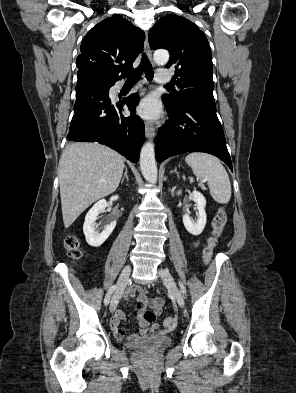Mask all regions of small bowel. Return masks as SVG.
<instances>
[{
    "label": "small bowel",
    "mask_w": 296,
    "mask_h": 393,
    "mask_svg": "<svg viewBox=\"0 0 296 393\" xmlns=\"http://www.w3.org/2000/svg\"><path fill=\"white\" fill-rule=\"evenodd\" d=\"M193 244L196 245V243ZM124 297L129 299H137L139 302L142 303L144 308L151 309L156 314L161 313L164 304V298H148L144 295V290L140 286L136 285H131L130 287H128L124 293ZM124 318L125 312L122 309H117L111 319V328L114 334L118 337H124L126 335V331L119 326L120 322L124 320ZM138 322L139 327L136 328L133 334L130 336V338L132 339L148 338L155 330L159 329L158 324L149 326L148 323L145 322L140 315L138 317Z\"/></svg>",
    "instance_id": "c3829d8e"
}]
</instances>
